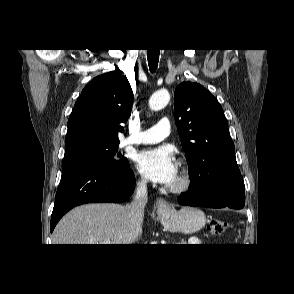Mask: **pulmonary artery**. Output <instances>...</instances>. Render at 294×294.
I'll return each mask as SVG.
<instances>
[{"label":"pulmonary artery","instance_id":"e3ab8cb5","mask_svg":"<svg viewBox=\"0 0 294 294\" xmlns=\"http://www.w3.org/2000/svg\"><path fill=\"white\" fill-rule=\"evenodd\" d=\"M171 126L167 118L161 119L155 126L148 130L140 131L137 134L127 138L128 144H147L157 143L169 136Z\"/></svg>","mask_w":294,"mask_h":294}]
</instances>
